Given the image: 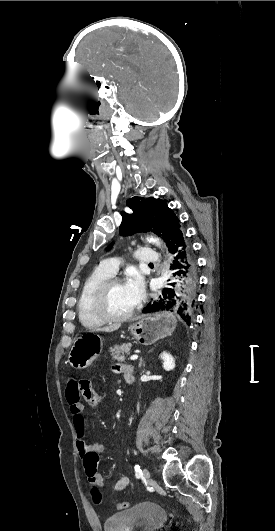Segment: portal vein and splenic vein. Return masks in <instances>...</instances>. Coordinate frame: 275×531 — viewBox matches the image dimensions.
I'll return each mask as SVG.
<instances>
[{"instance_id":"1","label":"portal vein and splenic vein","mask_w":275,"mask_h":531,"mask_svg":"<svg viewBox=\"0 0 275 531\" xmlns=\"http://www.w3.org/2000/svg\"><path fill=\"white\" fill-rule=\"evenodd\" d=\"M131 361H135V359H138V355H132V357H130Z\"/></svg>"}]
</instances>
